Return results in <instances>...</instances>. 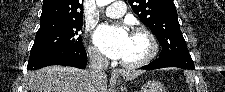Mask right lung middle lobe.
<instances>
[{"instance_id": "right-lung-middle-lobe-1", "label": "right lung middle lobe", "mask_w": 225, "mask_h": 92, "mask_svg": "<svg viewBox=\"0 0 225 92\" xmlns=\"http://www.w3.org/2000/svg\"><path fill=\"white\" fill-rule=\"evenodd\" d=\"M82 22H47L40 24L30 54L61 48L83 46L81 35Z\"/></svg>"}]
</instances>
